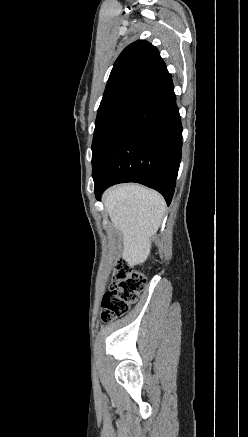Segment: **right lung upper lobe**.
<instances>
[{
	"instance_id": "obj_1",
	"label": "right lung upper lobe",
	"mask_w": 248,
	"mask_h": 437,
	"mask_svg": "<svg viewBox=\"0 0 248 437\" xmlns=\"http://www.w3.org/2000/svg\"><path fill=\"white\" fill-rule=\"evenodd\" d=\"M165 69L156 47L145 40L133 42L115 61L100 105L127 92H141Z\"/></svg>"
}]
</instances>
